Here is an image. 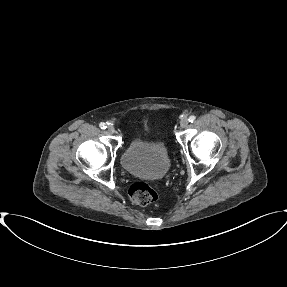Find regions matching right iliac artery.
I'll use <instances>...</instances> for the list:
<instances>
[{"instance_id": "right-iliac-artery-1", "label": "right iliac artery", "mask_w": 287, "mask_h": 287, "mask_svg": "<svg viewBox=\"0 0 287 287\" xmlns=\"http://www.w3.org/2000/svg\"><path fill=\"white\" fill-rule=\"evenodd\" d=\"M99 127H100L101 129H106V128H107V126H106V124H105L104 122H101V123L99 124Z\"/></svg>"}]
</instances>
